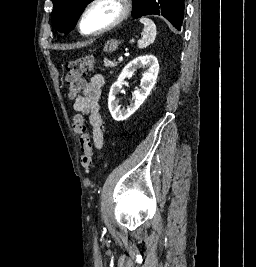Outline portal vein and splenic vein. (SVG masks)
<instances>
[{"mask_svg": "<svg viewBox=\"0 0 256 267\" xmlns=\"http://www.w3.org/2000/svg\"><path fill=\"white\" fill-rule=\"evenodd\" d=\"M119 63H123V60L125 59V56L124 55H120L119 56Z\"/></svg>", "mask_w": 256, "mask_h": 267, "instance_id": "portal-vein-and-splenic-vein-1", "label": "portal vein and splenic vein"}]
</instances>
